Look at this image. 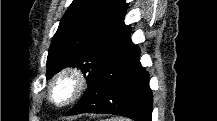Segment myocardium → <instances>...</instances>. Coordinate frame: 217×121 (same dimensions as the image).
I'll use <instances>...</instances> for the list:
<instances>
[{"label": "myocardium", "mask_w": 217, "mask_h": 121, "mask_svg": "<svg viewBox=\"0 0 217 121\" xmlns=\"http://www.w3.org/2000/svg\"><path fill=\"white\" fill-rule=\"evenodd\" d=\"M88 77L77 67H68L57 73L49 83L47 97L57 108H64L76 101L87 89ZM66 87L65 94L58 98V92Z\"/></svg>", "instance_id": "myocardium-1"}]
</instances>
